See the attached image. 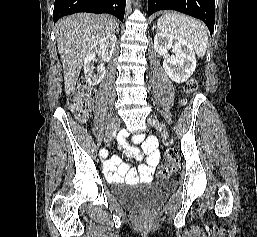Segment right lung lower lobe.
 Wrapping results in <instances>:
<instances>
[{
    "mask_svg": "<svg viewBox=\"0 0 257 237\" xmlns=\"http://www.w3.org/2000/svg\"><path fill=\"white\" fill-rule=\"evenodd\" d=\"M126 0H55L54 24L63 16L77 12L108 13L123 21Z\"/></svg>",
    "mask_w": 257,
    "mask_h": 237,
    "instance_id": "obj_1",
    "label": "right lung lower lobe"
}]
</instances>
